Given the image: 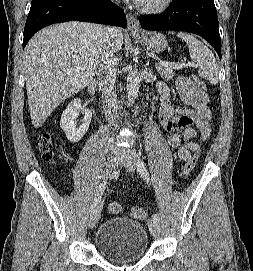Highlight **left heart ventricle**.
I'll return each mask as SVG.
<instances>
[{
    "label": "left heart ventricle",
    "mask_w": 253,
    "mask_h": 271,
    "mask_svg": "<svg viewBox=\"0 0 253 271\" xmlns=\"http://www.w3.org/2000/svg\"><path fill=\"white\" fill-rule=\"evenodd\" d=\"M153 1H156V0H147L145 3L153 2Z\"/></svg>",
    "instance_id": "left-heart-ventricle-1"
}]
</instances>
